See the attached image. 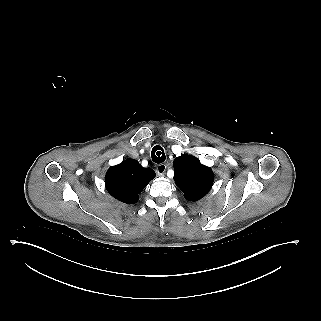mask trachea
<instances>
[{
	"instance_id": "obj_1",
	"label": "trachea",
	"mask_w": 321,
	"mask_h": 321,
	"mask_svg": "<svg viewBox=\"0 0 321 321\" xmlns=\"http://www.w3.org/2000/svg\"><path fill=\"white\" fill-rule=\"evenodd\" d=\"M152 161L155 163H163L165 161V154L163 148L159 145L153 147L151 152Z\"/></svg>"
}]
</instances>
